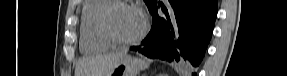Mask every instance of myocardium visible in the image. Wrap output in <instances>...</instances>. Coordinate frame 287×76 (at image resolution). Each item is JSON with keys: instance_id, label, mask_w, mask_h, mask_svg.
<instances>
[{"instance_id": "myocardium-1", "label": "myocardium", "mask_w": 287, "mask_h": 76, "mask_svg": "<svg viewBox=\"0 0 287 76\" xmlns=\"http://www.w3.org/2000/svg\"><path fill=\"white\" fill-rule=\"evenodd\" d=\"M119 6L132 7L131 4L127 1L110 0L109 3L101 10L98 16L97 26L100 35L104 40L114 46L131 45L139 42L145 37L148 31L147 21L144 20L143 27L136 36L131 38H122L118 36L110 25V17L114 9Z\"/></svg>"}]
</instances>
